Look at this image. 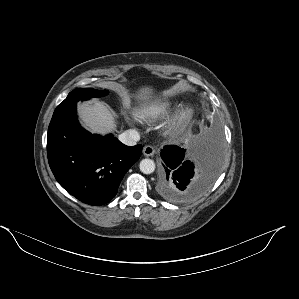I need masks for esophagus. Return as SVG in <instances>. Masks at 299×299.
<instances>
[{
    "instance_id": "1",
    "label": "esophagus",
    "mask_w": 299,
    "mask_h": 299,
    "mask_svg": "<svg viewBox=\"0 0 299 299\" xmlns=\"http://www.w3.org/2000/svg\"><path fill=\"white\" fill-rule=\"evenodd\" d=\"M156 153V150L153 146L147 145L143 148L144 156L151 157Z\"/></svg>"
}]
</instances>
